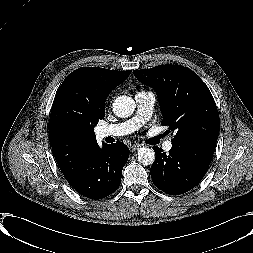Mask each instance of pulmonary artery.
Here are the masks:
<instances>
[{
    "instance_id": "obj_1",
    "label": "pulmonary artery",
    "mask_w": 253,
    "mask_h": 253,
    "mask_svg": "<svg viewBox=\"0 0 253 253\" xmlns=\"http://www.w3.org/2000/svg\"><path fill=\"white\" fill-rule=\"evenodd\" d=\"M135 101L137 104L136 115L124 122L107 125L99 130V137H119L128 135L136 131L142 124H144L152 116L154 105H155V95L150 91H141L135 95ZM163 148L165 150H170L172 148V141L169 139L163 143Z\"/></svg>"
}]
</instances>
